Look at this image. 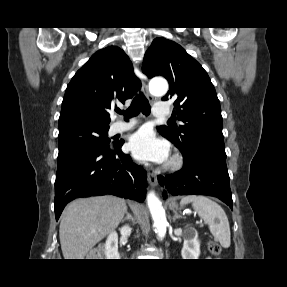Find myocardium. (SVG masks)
Masks as SVG:
<instances>
[{"mask_svg":"<svg viewBox=\"0 0 287 287\" xmlns=\"http://www.w3.org/2000/svg\"><path fill=\"white\" fill-rule=\"evenodd\" d=\"M183 164H184V160H183L182 156L179 154H174L171 157L168 166H169L170 170L177 171V170L182 168Z\"/></svg>","mask_w":287,"mask_h":287,"instance_id":"myocardium-1","label":"myocardium"}]
</instances>
